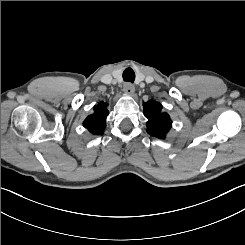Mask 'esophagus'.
Returning <instances> with one entry per match:
<instances>
[{
  "instance_id": "esophagus-1",
  "label": "esophagus",
  "mask_w": 245,
  "mask_h": 245,
  "mask_svg": "<svg viewBox=\"0 0 245 245\" xmlns=\"http://www.w3.org/2000/svg\"><path fill=\"white\" fill-rule=\"evenodd\" d=\"M123 90H124V92H126L130 95H133L135 92L134 85L130 82H125V84L123 86Z\"/></svg>"
}]
</instances>
